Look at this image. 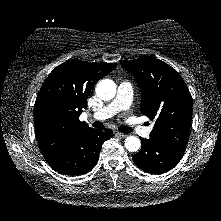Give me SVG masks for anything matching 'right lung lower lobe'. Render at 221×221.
I'll return each instance as SVG.
<instances>
[{"instance_id": "obj_1", "label": "right lung lower lobe", "mask_w": 221, "mask_h": 221, "mask_svg": "<svg viewBox=\"0 0 221 221\" xmlns=\"http://www.w3.org/2000/svg\"><path fill=\"white\" fill-rule=\"evenodd\" d=\"M112 135V130L106 128L85 131L47 162L55 171L62 174L77 176L86 174L96 165L103 142Z\"/></svg>"}]
</instances>
